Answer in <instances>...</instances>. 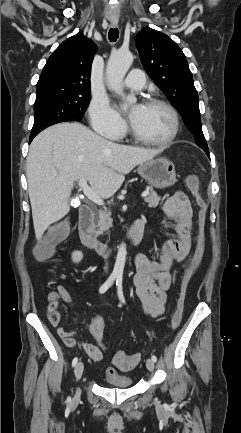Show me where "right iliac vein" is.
Returning <instances> with one entry per match:
<instances>
[{
	"label": "right iliac vein",
	"mask_w": 241,
	"mask_h": 433,
	"mask_svg": "<svg viewBox=\"0 0 241 433\" xmlns=\"http://www.w3.org/2000/svg\"><path fill=\"white\" fill-rule=\"evenodd\" d=\"M83 370H84L83 363L82 362H78L76 364V366H75V369H74V374H75V378H76L77 381L80 380V378L82 377ZM79 399H80V389L77 388V390H76V392H75V394L73 396V401L77 402V401H79Z\"/></svg>",
	"instance_id": "63e3f726"
}]
</instances>
